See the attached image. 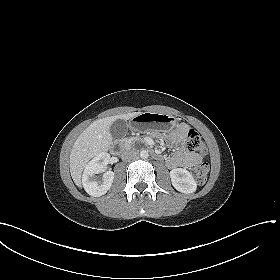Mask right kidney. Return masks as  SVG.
Masks as SVG:
<instances>
[{"instance_id": "1", "label": "right kidney", "mask_w": 280, "mask_h": 280, "mask_svg": "<svg viewBox=\"0 0 280 280\" xmlns=\"http://www.w3.org/2000/svg\"><path fill=\"white\" fill-rule=\"evenodd\" d=\"M109 160L110 155L108 153H101L86 165L82 183L89 195L100 197L110 189L114 180V173L112 171L105 172L102 181H98L95 177L96 174L104 172Z\"/></svg>"}]
</instances>
